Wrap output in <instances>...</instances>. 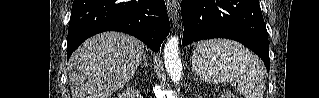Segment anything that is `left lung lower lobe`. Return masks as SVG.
<instances>
[{
    "label": "left lung lower lobe",
    "mask_w": 319,
    "mask_h": 98,
    "mask_svg": "<svg viewBox=\"0 0 319 98\" xmlns=\"http://www.w3.org/2000/svg\"><path fill=\"white\" fill-rule=\"evenodd\" d=\"M182 44L228 38L238 41L264 61L269 71L268 33L259 0H182Z\"/></svg>",
    "instance_id": "obj_1"
}]
</instances>
